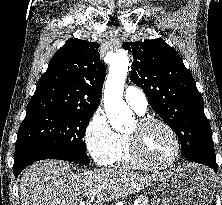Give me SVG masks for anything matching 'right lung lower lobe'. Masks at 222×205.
<instances>
[{
    "instance_id": "1",
    "label": "right lung lower lobe",
    "mask_w": 222,
    "mask_h": 205,
    "mask_svg": "<svg viewBox=\"0 0 222 205\" xmlns=\"http://www.w3.org/2000/svg\"><path fill=\"white\" fill-rule=\"evenodd\" d=\"M43 159L67 160L63 154L44 147L23 148L14 153L13 172L15 177L29 164Z\"/></svg>"
}]
</instances>
